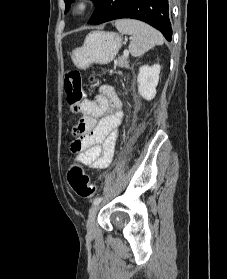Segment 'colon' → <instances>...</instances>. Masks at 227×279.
Masks as SVG:
<instances>
[{"instance_id":"colon-1","label":"colon","mask_w":227,"mask_h":279,"mask_svg":"<svg viewBox=\"0 0 227 279\" xmlns=\"http://www.w3.org/2000/svg\"><path fill=\"white\" fill-rule=\"evenodd\" d=\"M96 78L90 77L91 84ZM66 102L71 110H77L83 98V83L81 74L78 71H69L65 77ZM73 151L78 150V146H73ZM68 181L75 193L81 198H91L95 193V187L91 183L85 170L79 165L74 164L68 172Z\"/></svg>"}]
</instances>
